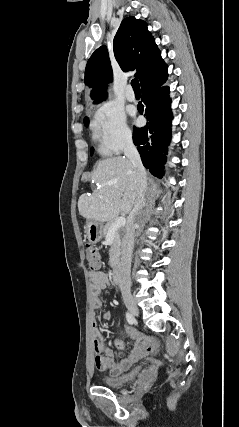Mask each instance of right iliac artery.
I'll use <instances>...</instances> for the list:
<instances>
[{"instance_id":"obj_1","label":"right iliac artery","mask_w":239,"mask_h":427,"mask_svg":"<svg viewBox=\"0 0 239 427\" xmlns=\"http://www.w3.org/2000/svg\"><path fill=\"white\" fill-rule=\"evenodd\" d=\"M126 319L130 324H133L135 321L134 317L129 312L126 313Z\"/></svg>"}]
</instances>
